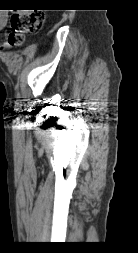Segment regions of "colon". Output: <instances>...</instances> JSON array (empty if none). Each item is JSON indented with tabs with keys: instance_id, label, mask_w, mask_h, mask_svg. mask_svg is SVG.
<instances>
[{
	"instance_id": "1",
	"label": "colon",
	"mask_w": 138,
	"mask_h": 253,
	"mask_svg": "<svg viewBox=\"0 0 138 253\" xmlns=\"http://www.w3.org/2000/svg\"><path fill=\"white\" fill-rule=\"evenodd\" d=\"M43 25V15L37 12H16L10 18V45H18L28 33L36 32Z\"/></svg>"
}]
</instances>
